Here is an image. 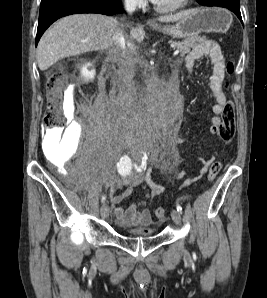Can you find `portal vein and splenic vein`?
<instances>
[{
	"label": "portal vein and splenic vein",
	"mask_w": 267,
	"mask_h": 298,
	"mask_svg": "<svg viewBox=\"0 0 267 298\" xmlns=\"http://www.w3.org/2000/svg\"><path fill=\"white\" fill-rule=\"evenodd\" d=\"M179 54V50L177 49L176 51H174V56Z\"/></svg>",
	"instance_id": "portal-vein-and-splenic-vein-1"
}]
</instances>
